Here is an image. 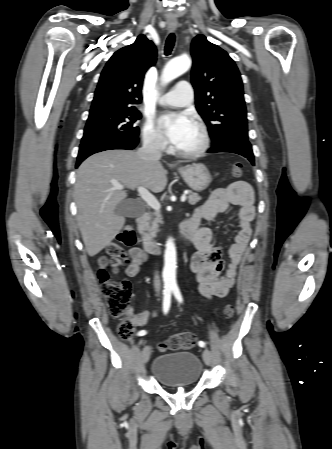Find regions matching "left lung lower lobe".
Wrapping results in <instances>:
<instances>
[{
  "mask_svg": "<svg viewBox=\"0 0 332 449\" xmlns=\"http://www.w3.org/2000/svg\"><path fill=\"white\" fill-rule=\"evenodd\" d=\"M210 153L216 152H231L246 157L254 165V155L252 146L248 139L234 137L227 139L217 145L212 146L208 151Z\"/></svg>",
  "mask_w": 332,
  "mask_h": 449,
  "instance_id": "obj_1",
  "label": "left lung lower lobe"
}]
</instances>
